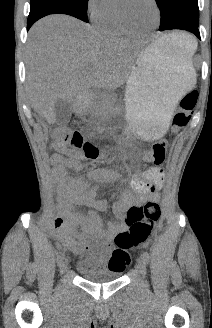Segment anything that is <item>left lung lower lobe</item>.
Wrapping results in <instances>:
<instances>
[{"instance_id": "left-lung-lower-lobe-1", "label": "left lung lower lobe", "mask_w": 212, "mask_h": 328, "mask_svg": "<svg viewBox=\"0 0 212 328\" xmlns=\"http://www.w3.org/2000/svg\"><path fill=\"white\" fill-rule=\"evenodd\" d=\"M172 29H180V30L189 31V32L195 34L200 39L198 25H194L193 23H190L185 20L176 21V22L172 23L170 26L166 27L165 29H159V30L163 31V30H172Z\"/></svg>"}]
</instances>
